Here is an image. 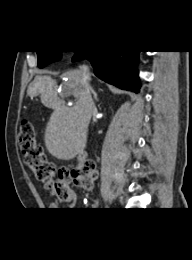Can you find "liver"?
Returning <instances> with one entry per match:
<instances>
[{"instance_id":"1","label":"liver","mask_w":192,"mask_h":260,"mask_svg":"<svg viewBox=\"0 0 192 260\" xmlns=\"http://www.w3.org/2000/svg\"><path fill=\"white\" fill-rule=\"evenodd\" d=\"M61 78L67 80L63 85L62 99L58 98L56 82L49 75H37L27 93L30 97L41 94L44 101L55 103L44 133L45 146L52 156L71 160L86 148L93 110L83 84L82 72L70 70L63 73ZM64 95H73L78 101L69 108L65 105Z\"/></svg>"}]
</instances>
